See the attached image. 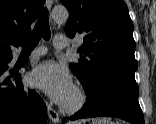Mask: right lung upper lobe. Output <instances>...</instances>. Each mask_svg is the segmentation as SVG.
Instances as JSON below:
<instances>
[{
	"label": "right lung upper lobe",
	"instance_id": "obj_1",
	"mask_svg": "<svg viewBox=\"0 0 156 124\" xmlns=\"http://www.w3.org/2000/svg\"><path fill=\"white\" fill-rule=\"evenodd\" d=\"M45 0H0V58L11 56L17 39L27 35Z\"/></svg>",
	"mask_w": 156,
	"mask_h": 124
}]
</instances>
